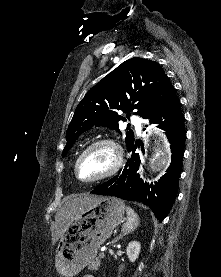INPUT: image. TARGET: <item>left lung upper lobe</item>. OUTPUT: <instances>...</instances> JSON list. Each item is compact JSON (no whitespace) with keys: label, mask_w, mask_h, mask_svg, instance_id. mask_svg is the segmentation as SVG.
I'll list each match as a JSON object with an SVG mask.
<instances>
[{"label":"left lung upper lobe","mask_w":221,"mask_h":277,"mask_svg":"<svg viewBox=\"0 0 221 277\" xmlns=\"http://www.w3.org/2000/svg\"><path fill=\"white\" fill-rule=\"evenodd\" d=\"M174 90L155 61L135 57L123 62L91 88L76 107L62 156L81 133L94 126H106L120 133L119 122L125 118L118 114L119 110L130 116V111L137 109L134 114L149 119ZM125 141L129 150L135 141L132 130L126 133Z\"/></svg>","instance_id":"left-lung-upper-lobe-1"}]
</instances>
